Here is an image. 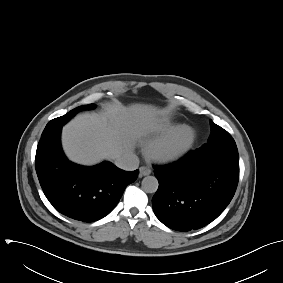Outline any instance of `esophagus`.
Segmentation results:
<instances>
[{
  "instance_id": "esophagus-1",
  "label": "esophagus",
  "mask_w": 283,
  "mask_h": 283,
  "mask_svg": "<svg viewBox=\"0 0 283 283\" xmlns=\"http://www.w3.org/2000/svg\"><path fill=\"white\" fill-rule=\"evenodd\" d=\"M140 176H147L151 174V169L146 166H142L139 168Z\"/></svg>"
}]
</instances>
